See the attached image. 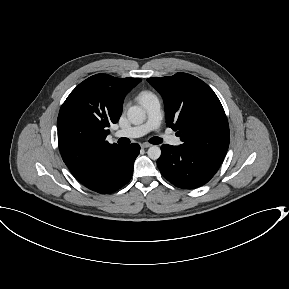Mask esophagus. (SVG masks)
Segmentation results:
<instances>
[{
  "label": "esophagus",
  "instance_id": "1",
  "mask_svg": "<svg viewBox=\"0 0 289 289\" xmlns=\"http://www.w3.org/2000/svg\"><path fill=\"white\" fill-rule=\"evenodd\" d=\"M151 146V144H149V143H143V144H141V147L142 148H149Z\"/></svg>",
  "mask_w": 289,
  "mask_h": 289
}]
</instances>
